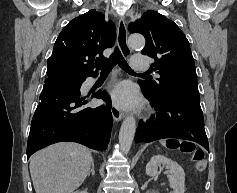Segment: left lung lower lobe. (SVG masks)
Segmentation results:
<instances>
[{
	"mask_svg": "<svg viewBox=\"0 0 237 193\" xmlns=\"http://www.w3.org/2000/svg\"><path fill=\"white\" fill-rule=\"evenodd\" d=\"M142 91L158 112L145 124L139 122L136 143L178 138L194 141L209 150L199 96L156 97L143 87Z\"/></svg>",
	"mask_w": 237,
	"mask_h": 193,
	"instance_id": "left-lung-lower-lobe-1",
	"label": "left lung lower lobe"
}]
</instances>
